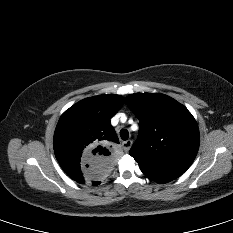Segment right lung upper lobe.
Segmentation results:
<instances>
[{"label":"right lung upper lobe","mask_w":233,"mask_h":233,"mask_svg":"<svg viewBox=\"0 0 233 233\" xmlns=\"http://www.w3.org/2000/svg\"><path fill=\"white\" fill-rule=\"evenodd\" d=\"M123 103L120 95L89 97L67 109L58 121L53 141L56 158L85 189L104 187L113 180L119 139L110 119Z\"/></svg>","instance_id":"right-lung-upper-lobe-1"}]
</instances>
